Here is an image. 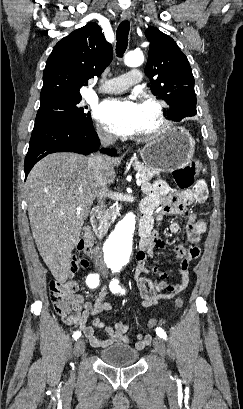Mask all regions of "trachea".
Returning a JSON list of instances; mask_svg holds the SVG:
<instances>
[{"mask_svg":"<svg viewBox=\"0 0 243 409\" xmlns=\"http://www.w3.org/2000/svg\"><path fill=\"white\" fill-rule=\"evenodd\" d=\"M130 30V22L123 21L117 28L116 31V53L118 57H122L128 44V34Z\"/></svg>","mask_w":243,"mask_h":409,"instance_id":"obj_1","label":"trachea"}]
</instances>
